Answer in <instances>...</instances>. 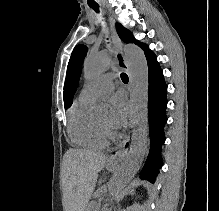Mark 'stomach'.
Returning a JSON list of instances; mask_svg holds the SVG:
<instances>
[{"instance_id":"1","label":"stomach","mask_w":219,"mask_h":211,"mask_svg":"<svg viewBox=\"0 0 219 211\" xmlns=\"http://www.w3.org/2000/svg\"><path fill=\"white\" fill-rule=\"evenodd\" d=\"M107 169L113 171V170L116 169V166L113 165V164H108V165H107Z\"/></svg>"}]
</instances>
